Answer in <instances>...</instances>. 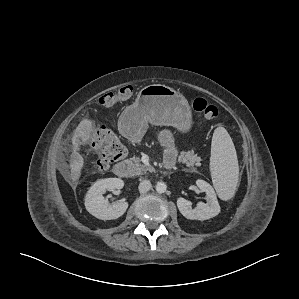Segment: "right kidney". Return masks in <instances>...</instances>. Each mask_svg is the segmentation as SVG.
I'll list each match as a JSON object with an SVG mask.
<instances>
[{"mask_svg":"<svg viewBox=\"0 0 299 299\" xmlns=\"http://www.w3.org/2000/svg\"><path fill=\"white\" fill-rule=\"evenodd\" d=\"M123 180L119 178H106L97 180L88 190L85 196L86 210L101 220H113L121 217L128 208L127 202L109 204L103 197L106 191L121 189Z\"/></svg>","mask_w":299,"mask_h":299,"instance_id":"obj_1","label":"right kidney"}]
</instances>
